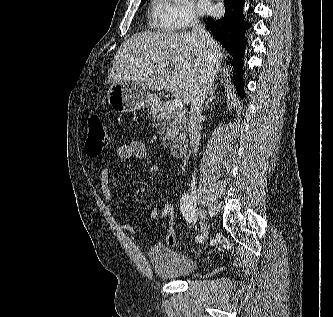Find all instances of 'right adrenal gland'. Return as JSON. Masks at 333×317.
Masks as SVG:
<instances>
[{
    "label": "right adrenal gland",
    "mask_w": 333,
    "mask_h": 317,
    "mask_svg": "<svg viewBox=\"0 0 333 317\" xmlns=\"http://www.w3.org/2000/svg\"><path fill=\"white\" fill-rule=\"evenodd\" d=\"M216 89H217V86L211 88V90H210V92H209V95H208V98H207V100H206V102H205V104H204V108H205V109L208 108L210 102H212L214 99H216V97H217V96L215 95V91H216Z\"/></svg>",
    "instance_id": "1"
}]
</instances>
